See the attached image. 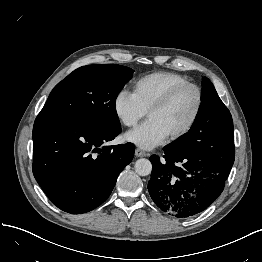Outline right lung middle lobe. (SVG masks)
Wrapping results in <instances>:
<instances>
[{
  "instance_id": "obj_1",
  "label": "right lung middle lobe",
  "mask_w": 262,
  "mask_h": 262,
  "mask_svg": "<svg viewBox=\"0 0 262 262\" xmlns=\"http://www.w3.org/2000/svg\"><path fill=\"white\" fill-rule=\"evenodd\" d=\"M133 72L116 64L82 66L54 87L40 113L72 117L107 130L120 127L115 101Z\"/></svg>"
}]
</instances>
